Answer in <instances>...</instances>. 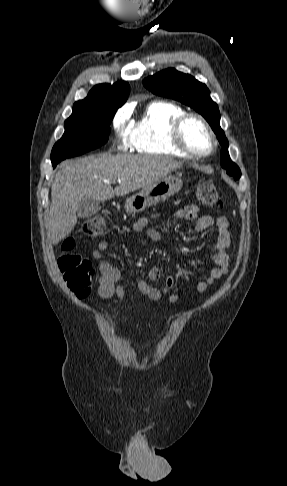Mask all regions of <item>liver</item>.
Instances as JSON below:
<instances>
[{"instance_id": "liver-1", "label": "liver", "mask_w": 287, "mask_h": 486, "mask_svg": "<svg viewBox=\"0 0 287 486\" xmlns=\"http://www.w3.org/2000/svg\"><path fill=\"white\" fill-rule=\"evenodd\" d=\"M182 162L160 156L100 154L65 162L51 187L47 234L58 244L77 223L78 203L85 196L107 201L147 187L181 168ZM120 181L113 189L112 184Z\"/></svg>"}]
</instances>
